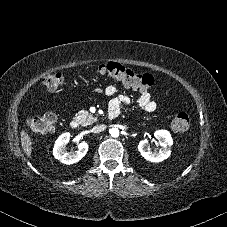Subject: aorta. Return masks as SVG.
I'll use <instances>...</instances> for the list:
<instances>
[{
	"label": "aorta",
	"instance_id": "1",
	"mask_svg": "<svg viewBox=\"0 0 227 227\" xmlns=\"http://www.w3.org/2000/svg\"><path fill=\"white\" fill-rule=\"evenodd\" d=\"M110 134H111L112 137L116 138V137L119 136V130L117 128H112L110 130Z\"/></svg>",
	"mask_w": 227,
	"mask_h": 227
}]
</instances>
